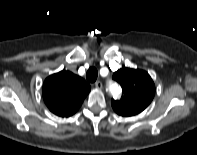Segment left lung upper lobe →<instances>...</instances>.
I'll list each match as a JSON object with an SVG mask.
<instances>
[{
  "label": "left lung upper lobe",
  "mask_w": 197,
  "mask_h": 155,
  "mask_svg": "<svg viewBox=\"0 0 197 155\" xmlns=\"http://www.w3.org/2000/svg\"><path fill=\"white\" fill-rule=\"evenodd\" d=\"M113 79L121 85L123 92L120 100L111 101L118 115L134 116L152 101L155 85L147 72L123 67L113 74Z\"/></svg>",
  "instance_id": "left-lung-upper-lobe-1"
}]
</instances>
